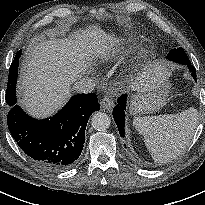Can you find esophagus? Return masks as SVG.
<instances>
[{
    "label": "esophagus",
    "instance_id": "esophagus-1",
    "mask_svg": "<svg viewBox=\"0 0 205 205\" xmlns=\"http://www.w3.org/2000/svg\"><path fill=\"white\" fill-rule=\"evenodd\" d=\"M100 105L103 109L110 110L114 107V101L111 96H104L100 101Z\"/></svg>",
    "mask_w": 205,
    "mask_h": 205
}]
</instances>
